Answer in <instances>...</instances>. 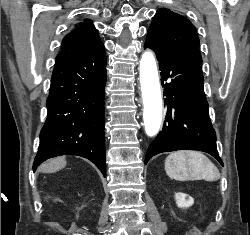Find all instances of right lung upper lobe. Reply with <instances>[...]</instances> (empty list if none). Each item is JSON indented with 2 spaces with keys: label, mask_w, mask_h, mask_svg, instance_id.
I'll use <instances>...</instances> for the list:
<instances>
[{
  "label": "right lung upper lobe",
  "mask_w": 250,
  "mask_h": 235,
  "mask_svg": "<svg viewBox=\"0 0 250 235\" xmlns=\"http://www.w3.org/2000/svg\"><path fill=\"white\" fill-rule=\"evenodd\" d=\"M102 43L96 28L89 19H85L79 27L68 33L62 40L60 53L56 61L63 58L74 57L84 53L87 49Z\"/></svg>",
  "instance_id": "right-lung-upper-lobe-1"
}]
</instances>
